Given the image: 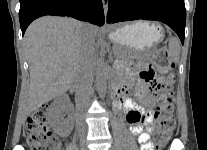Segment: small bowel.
I'll return each instance as SVG.
<instances>
[{
    "instance_id": "1",
    "label": "small bowel",
    "mask_w": 207,
    "mask_h": 150,
    "mask_svg": "<svg viewBox=\"0 0 207 150\" xmlns=\"http://www.w3.org/2000/svg\"><path fill=\"white\" fill-rule=\"evenodd\" d=\"M119 68L124 75V80L115 86L114 106L125 113L131 133L138 137L141 150H153L154 145L149 133L153 118L152 107L155 103L152 93L154 70L144 63L136 66L125 63ZM134 86L135 95L140 104L128 97V93Z\"/></svg>"
}]
</instances>
